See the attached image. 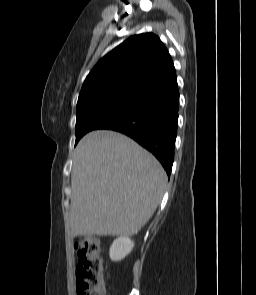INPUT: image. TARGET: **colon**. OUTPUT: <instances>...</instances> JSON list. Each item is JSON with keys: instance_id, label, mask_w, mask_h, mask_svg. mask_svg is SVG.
<instances>
[{"instance_id": "5ec220e1", "label": "colon", "mask_w": 256, "mask_h": 295, "mask_svg": "<svg viewBox=\"0 0 256 295\" xmlns=\"http://www.w3.org/2000/svg\"><path fill=\"white\" fill-rule=\"evenodd\" d=\"M78 255L76 267L77 295H105L101 245L97 238L83 236L74 244Z\"/></svg>"}]
</instances>
